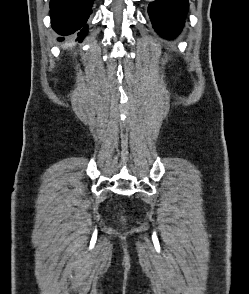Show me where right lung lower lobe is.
Here are the masks:
<instances>
[{
	"label": "right lung lower lobe",
	"mask_w": 249,
	"mask_h": 294,
	"mask_svg": "<svg viewBox=\"0 0 249 294\" xmlns=\"http://www.w3.org/2000/svg\"><path fill=\"white\" fill-rule=\"evenodd\" d=\"M94 0H51L50 12L53 29L71 39L78 35L80 42L87 32L86 23L92 13ZM64 38H59L63 40Z\"/></svg>",
	"instance_id": "right-lung-lower-lobe-1"
}]
</instances>
